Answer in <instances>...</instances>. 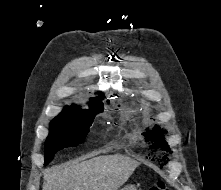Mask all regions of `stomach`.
Here are the masks:
<instances>
[{
	"instance_id": "stomach-1",
	"label": "stomach",
	"mask_w": 221,
	"mask_h": 190,
	"mask_svg": "<svg viewBox=\"0 0 221 190\" xmlns=\"http://www.w3.org/2000/svg\"><path fill=\"white\" fill-rule=\"evenodd\" d=\"M121 190H137L135 185H127L123 187Z\"/></svg>"
}]
</instances>
